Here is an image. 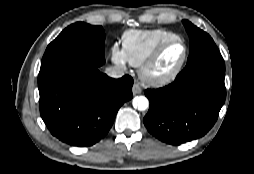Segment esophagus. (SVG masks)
I'll use <instances>...</instances> for the list:
<instances>
[{
  "instance_id": "esophagus-1",
  "label": "esophagus",
  "mask_w": 254,
  "mask_h": 174,
  "mask_svg": "<svg viewBox=\"0 0 254 174\" xmlns=\"http://www.w3.org/2000/svg\"><path fill=\"white\" fill-rule=\"evenodd\" d=\"M132 92L134 95L141 94L142 93L141 86L138 83H135L132 87Z\"/></svg>"
}]
</instances>
